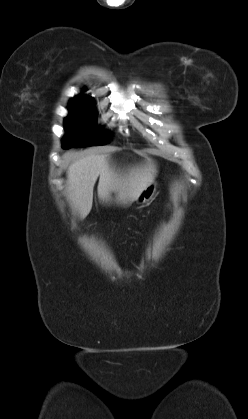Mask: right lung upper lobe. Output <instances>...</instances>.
I'll return each instance as SVG.
<instances>
[{"label": "right lung upper lobe", "instance_id": "cb5924a9", "mask_svg": "<svg viewBox=\"0 0 248 419\" xmlns=\"http://www.w3.org/2000/svg\"><path fill=\"white\" fill-rule=\"evenodd\" d=\"M76 99H83V100H88V101H92V98L87 96V95H79L75 97ZM93 102V101H92Z\"/></svg>", "mask_w": 248, "mask_h": 419}]
</instances>
